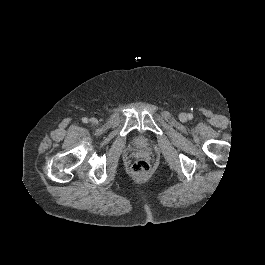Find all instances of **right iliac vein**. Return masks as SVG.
I'll list each match as a JSON object with an SVG mask.
<instances>
[{"label": "right iliac vein", "instance_id": "obj_1", "mask_svg": "<svg viewBox=\"0 0 265 265\" xmlns=\"http://www.w3.org/2000/svg\"><path fill=\"white\" fill-rule=\"evenodd\" d=\"M89 122L92 126H96L98 124V120L95 117H92Z\"/></svg>", "mask_w": 265, "mask_h": 265}]
</instances>
